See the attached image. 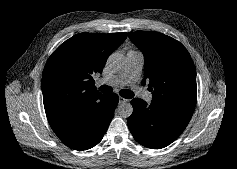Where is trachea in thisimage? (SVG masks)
<instances>
[{"instance_id":"obj_1","label":"trachea","mask_w":237,"mask_h":169,"mask_svg":"<svg viewBox=\"0 0 237 169\" xmlns=\"http://www.w3.org/2000/svg\"><path fill=\"white\" fill-rule=\"evenodd\" d=\"M100 90H101V92H103L105 94H108V93H111L112 88L110 86H107V85H102L100 87ZM120 94L124 98H132L134 96V93L132 91L128 90V89L121 90Z\"/></svg>"}]
</instances>
